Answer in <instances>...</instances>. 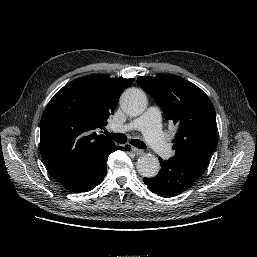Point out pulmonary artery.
I'll return each instance as SVG.
<instances>
[{
	"mask_svg": "<svg viewBox=\"0 0 257 257\" xmlns=\"http://www.w3.org/2000/svg\"><path fill=\"white\" fill-rule=\"evenodd\" d=\"M113 127L121 132L140 130L158 156L168 158L172 155V148L160 127V111L157 107H150L141 117L129 124H114Z\"/></svg>",
	"mask_w": 257,
	"mask_h": 257,
	"instance_id": "pulmonary-artery-1",
	"label": "pulmonary artery"
}]
</instances>
